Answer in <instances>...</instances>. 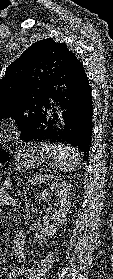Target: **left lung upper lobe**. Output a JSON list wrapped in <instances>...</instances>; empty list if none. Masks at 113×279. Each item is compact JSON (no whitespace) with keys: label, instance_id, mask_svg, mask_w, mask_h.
<instances>
[{"label":"left lung upper lobe","instance_id":"5c2ea615","mask_svg":"<svg viewBox=\"0 0 113 279\" xmlns=\"http://www.w3.org/2000/svg\"><path fill=\"white\" fill-rule=\"evenodd\" d=\"M71 54L64 43L51 38L28 47L0 79V120L13 118L21 135L25 134L33 125L43 92L54 82Z\"/></svg>","mask_w":113,"mask_h":279}]
</instances>
